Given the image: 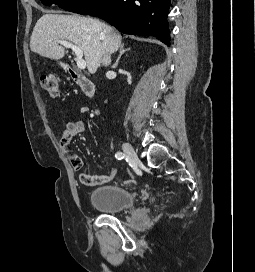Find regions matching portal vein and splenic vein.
I'll use <instances>...</instances> for the list:
<instances>
[{"label":"portal vein and splenic vein","instance_id":"1","mask_svg":"<svg viewBox=\"0 0 255 272\" xmlns=\"http://www.w3.org/2000/svg\"><path fill=\"white\" fill-rule=\"evenodd\" d=\"M58 42L61 45H63L64 47L71 48L74 51V53L76 55V62H77L78 68H80V69H85L86 68V61L83 60V58H82L83 57V51L79 46H77V45H75L73 43H70L68 41H64V40H59Z\"/></svg>","mask_w":255,"mask_h":272}]
</instances>
